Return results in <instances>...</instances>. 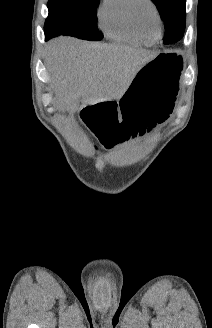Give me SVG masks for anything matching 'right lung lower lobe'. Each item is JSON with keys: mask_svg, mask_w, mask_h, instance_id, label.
Wrapping results in <instances>:
<instances>
[{"mask_svg": "<svg viewBox=\"0 0 212 328\" xmlns=\"http://www.w3.org/2000/svg\"><path fill=\"white\" fill-rule=\"evenodd\" d=\"M45 36H46V39H49V36L47 34H45Z\"/></svg>", "mask_w": 212, "mask_h": 328, "instance_id": "98d812e1", "label": "right lung lower lobe"}]
</instances>
